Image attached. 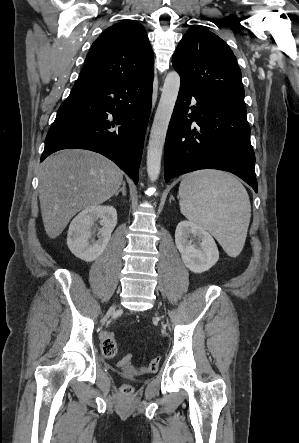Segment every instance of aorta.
<instances>
[{
    "label": "aorta",
    "instance_id": "762f6f07",
    "mask_svg": "<svg viewBox=\"0 0 299 443\" xmlns=\"http://www.w3.org/2000/svg\"><path fill=\"white\" fill-rule=\"evenodd\" d=\"M180 88V76L176 71L167 74L161 98L154 116L147 148V173L151 181L160 174L162 152L173 109Z\"/></svg>",
    "mask_w": 299,
    "mask_h": 443
}]
</instances>
